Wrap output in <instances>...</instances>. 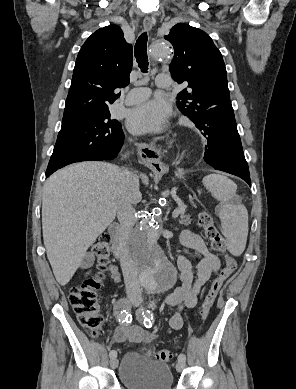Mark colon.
Here are the masks:
<instances>
[{
  "mask_svg": "<svg viewBox=\"0 0 296 389\" xmlns=\"http://www.w3.org/2000/svg\"><path fill=\"white\" fill-rule=\"evenodd\" d=\"M199 226L204 230L206 238L211 243L213 250L219 253L226 252V242L224 237L216 227L212 216L207 211H201L198 217ZM111 237L107 233L101 234L92 245L99 271L95 276L85 279L81 284L72 287L69 291V302L74 312L77 314L79 322L85 327L92 337L99 334L103 323L97 301V290L100 288L104 270L110 261ZM237 269V261L231 255H226L225 265L220 271L218 277L213 281L207 295L199 307V313L202 321H205L214 305L218 293L224 281L232 275ZM150 354L157 360L168 362L173 354L167 349L150 351Z\"/></svg>",
  "mask_w": 296,
  "mask_h": 389,
  "instance_id": "colon-1",
  "label": "colon"
}]
</instances>
